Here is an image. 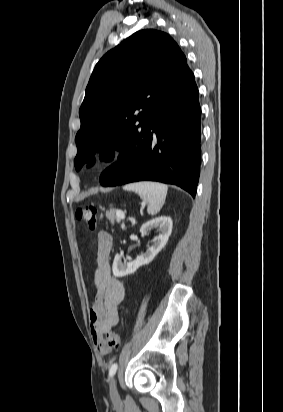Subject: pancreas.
Returning a JSON list of instances; mask_svg holds the SVG:
<instances>
[{"instance_id":"obj_1","label":"pancreas","mask_w":283,"mask_h":412,"mask_svg":"<svg viewBox=\"0 0 283 412\" xmlns=\"http://www.w3.org/2000/svg\"><path fill=\"white\" fill-rule=\"evenodd\" d=\"M116 212V210H110L106 212V217L112 225L115 223V221L118 223L121 221V219L117 217Z\"/></svg>"}]
</instances>
